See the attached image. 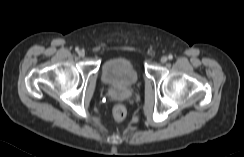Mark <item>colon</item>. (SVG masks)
<instances>
[{"label":"colon","mask_w":244,"mask_h":157,"mask_svg":"<svg viewBox=\"0 0 244 157\" xmlns=\"http://www.w3.org/2000/svg\"><path fill=\"white\" fill-rule=\"evenodd\" d=\"M127 111L123 104H117L113 108V117L116 121H122L126 117Z\"/></svg>","instance_id":"obj_1"}]
</instances>
